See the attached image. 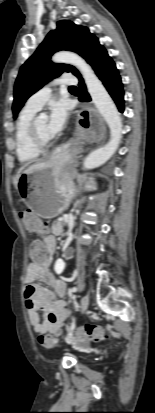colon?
<instances>
[{"mask_svg":"<svg viewBox=\"0 0 155 413\" xmlns=\"http://www.w3.org/2000/svg\"><path fill=\"white\" fill-rule=\"evenodd\" d=\"M29 256L37 263L45 261L47 258L46 247L40 241L34 242L30 248ZM109 339V333L99 326L87 325L74 334V340L79 346H83L88 341L104 342ZM39 342L45 347H52L55 340L50 335H41L39 337Z\"/></svg>","mask_w":155,"mask_h":413,"instance_id":"1","label":"colon"}]
</instances>
